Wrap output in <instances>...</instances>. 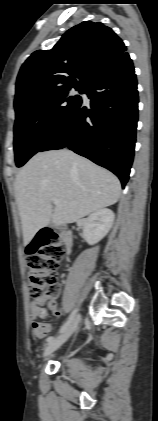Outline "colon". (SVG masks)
Here are the masks:
<instances>
[{"instance_id":"1","label":"colon","mask_w":158,"mask_h":421,"mask_svg":"<svg viewBox=\"0 0 158 421\" xmlns=\"http://www.w3.org/2000/svg\"><path fill=\"white\" fill-rule=\"evenodd\" d=\"M64 256V249L51 233L41 232L27 249L26 265L31 299L44 307L41 311L53 310L52 298L58 291L57 268Z\"/></svg>"}]
</instances>
